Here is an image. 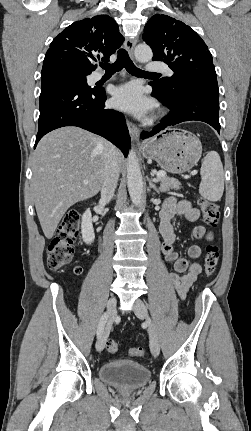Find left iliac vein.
I'll return each mask as SVG.
<instances>
[{
    "mask_svg": "<svg viewBox=\"0 0 251 431\" xmlns=\"http://www.w3.org/2000/svg\"><path fill=\"white\" fill-rule=\"evenodd\" d=\"M134 313L137 317L146 319L148 324V333L150 338V350L154 357H157L160 353V344L157 334V329L153 321L151 320L148 310L142 300L136 299L133 306Z\"/></svg>",
    "mask_w": 251,
    "mask_h": 431,
    "instance_id": "1",
    "label": "left iliac vein"
}]
</instances>
